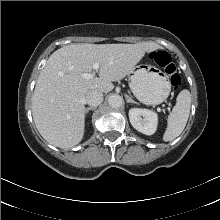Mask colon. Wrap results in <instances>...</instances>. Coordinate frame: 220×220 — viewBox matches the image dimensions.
I'll list each match as a JSON object with an SVG mask.
<instances>
[{
    "instance_id": "colon-1",
    "label": "colon",
    "mask_w": 220,
    "mask_h": 220,
    "mask_svg": "<svg viewBox=\"0 0 220 220\" xmlns=\"http://www.w3.org/2000/svg\"><path fill=\"white\" fill-rule=\"evenodd\" d=\"M151 59L162 68L169 76L171 85L174 89H177L181 84V76L177 70L172 57L165 51H156L151 53Z\"/></svg>"
}]
</instances>
